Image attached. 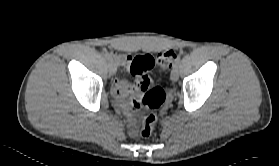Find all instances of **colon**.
Returning <instances> with one entry per match:
<instances>
[{"instance_id": "obj_1", "label": "colon", "mask_w": 279, "mask_h": 166, "mask_svg": "<svg viewBox=\"0 0 279 166\" xmlns=\"http://www.w3.org/2000/svg\"><path fill=\"white\" fill-rule=\"evenodd\" d=\"M177 57V53L169 49L160 53L156 59L150 55H138L130 64V72L135 77L136 86L142 91L140 104L148 110L139 130L143 138H148L152 134L157 120L155 111L166 99L164 89L153 83L149 72L155 65L168 71Z\"/></svg>"}]
</instances>
